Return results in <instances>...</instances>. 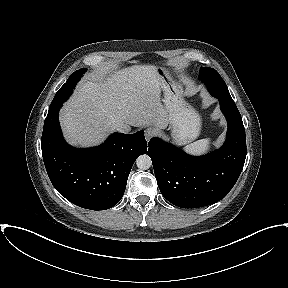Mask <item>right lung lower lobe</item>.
<instances>
[{"instance_id": "obj_1", "label": "right lung lower lobe", "mask_w": 288, "mask_h": 288, "mask_svg": "<svg viewBox=\"0 0 288 288\" xmlns=\"http://www.w3.org/2000/svg\"><path fill=\"white\" fill-rule=\"evenodd\" d=\"M60 107L49 109L41 139L44 164L53 186L79 207H113L124 194L135 160L147 152L144 131L130 135L114 133L98 147L73 148L61 133Z\"/></svg>"}]
</instances>
